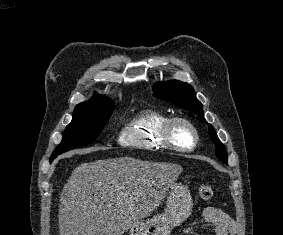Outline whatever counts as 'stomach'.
<instances>
[{
  "mask_svg": "<svg viewBox=\"0 0 283 235\" xmlns=\"http://www.w3.org/2000/svg\"><path fill=\"white\" fill-rule=\"evenodd\" d=\"M192 208L193 199L189 190L182 184L173 182L167 192L164 213L130 226L129 235H170L173 228L187 219Z\"/></svg>",
  "mask_w": 283,
  "mask_h": 235,
  "instance_id": "0dacf381",
  "label": "stomach"
}]
</instances>
